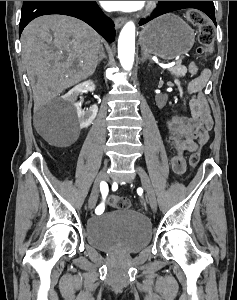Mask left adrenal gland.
<instances>
[{
	"instance_id": "left-adrenal-gland-1",
	"label": "left adrenal gland",
	"mask_w": 237,
	"mask_h": 300,
	"mask_svg": "<svg viewBox=\"0 0 237 300\" xmlns=\"http://www.w3.org/2000/svg\"><path fill=\"white\" fill-rule=\"evenodd\" d=\"M147 59H150V61H151V57H149V55H147V53H142V59H140V61H142V63H145V61H147Z\"/></svg>"
}]
</instances>
